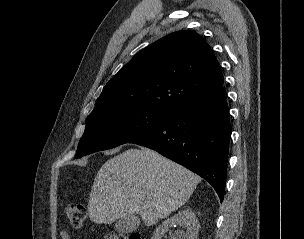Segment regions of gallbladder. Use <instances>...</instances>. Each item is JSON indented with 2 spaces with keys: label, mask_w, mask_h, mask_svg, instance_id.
I'll return each mask as SVG.
<instances>
[{
  "label": "gallbladder",
  "mask_w": 304,
  "mask_h": 239,
  "mask_svg": "<svg viewBox=\"0 0 304 239\" xmlns=\"http://www.w3.org/2000/svg\"><path fill=\"white\" fill-rule=\"evenodd\" d=\"M140 223V219L135 215H127L121 217L115 223V229L119 233H128L134 231Z\"/></svg>",
  "instance_id": "obj_1"
}]
</instances>
